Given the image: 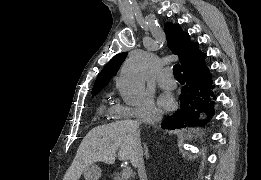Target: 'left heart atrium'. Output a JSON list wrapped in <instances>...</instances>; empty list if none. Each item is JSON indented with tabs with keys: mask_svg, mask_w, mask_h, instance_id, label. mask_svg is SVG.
Segmentation results:
<instances>
[{
	"mask_svg": "<svg viewBox=\"0 0 261 180\" xmlns=\"http://www.w3.org/2000/svg\"><path fill=\"white\" fill-rule=\"evenodd\" d=\"M158 104L159 106L164 109V110H168L172 107L173 105V99L171 97V95H169L168 93H162L159 96L158 99Z\"/></svg>",
	"mask_w": 261,
	"mask_h": 180,
	"instance_id": "left-heart-atrium-1",
	"label": "left heart atrium"
}]
</instances>
